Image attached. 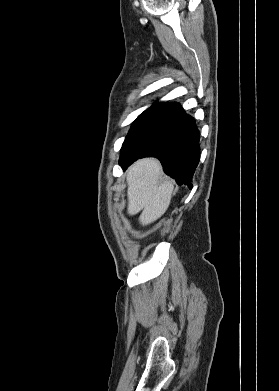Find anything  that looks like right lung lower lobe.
Returning a JSON list of instances; mask_svg holds the SVG:
<instances>
[{
  "label": "right lung lower lobe",
  "instance_id": "obj_1",
  "mask_svg": "<svg viewBox=\"0 0 279 391\" xmlns=\"http://www.w3.org/2000/svg\"><path fill=\"white\" fill-rule=\"evenodd\" d=\"M157 157L167 175L178 185L192 187V177L199 163V131L193 117L178 103L162 110L151 125L121 149L119 164L123 170L135 160Z\"/></svg>",
  "mask_w": 279,
  "mask_h": 391
}]
</instances>
